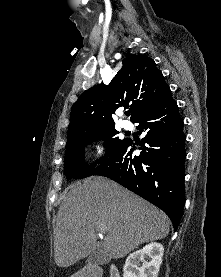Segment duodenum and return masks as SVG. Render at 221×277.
Instances as JSON below:
<instances>
[{
  "label": "duodenum",
  "instance_id": "obj_1",
  "mask_svg": "<svg viewBox=\"0 0 221 277\" xmlns=\"http://www.w3.org/2000/svg\"><path fill=\"white\" fill-rule=\"evenodd\" d=\"M82 277H102V271L97 266H90L82 273ZM108 277H121L116 266H110Z\"/></svg>",
  "mask_w": 221,
  "mask_h": 277
}]
</instances>
